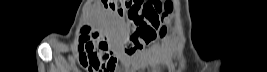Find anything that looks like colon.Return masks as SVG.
Instances as JSON below:
<instances>
[{"instance_id":"1","label":"colon","mask_w":267,"mask_h":72,"mask_svg":"<svg viewBox=\"0 0 267 72\" xmlns=\"http://www.w3.org/2000/svg\"><path fill=\"white\" fill-rule=\"evenodd\" d=\"M102 4L112 11L127 14L131 35L124 40L123 46L128 54L140 51L144 44L166 33L162 22L170 12V6L160 0L145 3L138 0H104ZM89 41L85 34L80 37L84 62L92 69L91 72L110 71L112 66L105 63V51L109 48L107 41L102 38L96 47H92Z\"/></svg>"}]
</instances>
